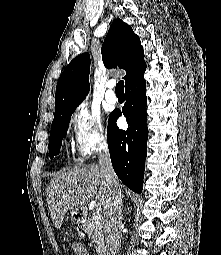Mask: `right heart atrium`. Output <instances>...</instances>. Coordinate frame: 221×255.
<instances>
[{"label":"right heart atrium","instance_id":"right-heart-atrium-1","mask_svg":"<svg viewBox=\"0 0 221 255\" xmlns=\"http://www.w3.org/2000/svg\"><path fill=\"white\" fill-rule=\"evenodd\" d=\"M70 129L76 151L82 157L91 155L106 142L98 112L86 104H80L74 110Z\"/></svg>","mask_w":221,"mask_h":255}]
</instances>
